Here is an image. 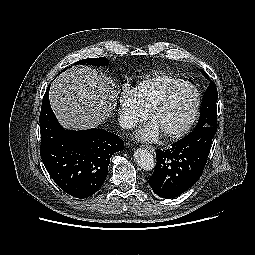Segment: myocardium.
Segmentation results:
<instances>
[{"instance_id":"f54148a6","label":"myocardium","mask_w":255,"mask_h":255,"mask_svg":"<svg viewBox=\"0 0 255 255\" xmlns=\"http://www.w3.org/2000/svg\"><path fill=\"white\" fill-rule=\"evenodd\" d=\"M186 88H193L196 92V101H195V106L194 110L192 112V115L190 119L186 122L184 126L181 128L163 133V136L168 139V140H178L182 137H184L194 126L199 113H200V108H201V93L198 87L191 83V82H185L179 87L173 89L170 91L166 96H164L150 111L149 117L151 120L160 112L162 111L180 92L185 90Z\"/></svg>"}]
</instances>
